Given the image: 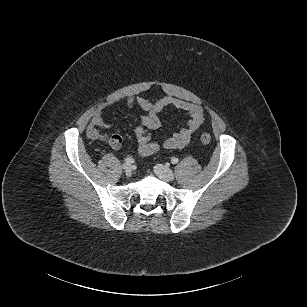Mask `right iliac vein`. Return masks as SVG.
<instances>
[{"instance_id":"63e3f726","label":"right iliac vein","mask_w":307,"mask_h":307,"mask_svg":"<svg viewBox=\"0 0 307 307\" xmlns=\"http://www.w3.org/2000/svg\"><path fill=\"white\" fill-rule=\"evenodd\" d=\"M122 168L126 174H131L132 166L130 164L125 163L123 164Z\"/></svg>"}]
</instances>
